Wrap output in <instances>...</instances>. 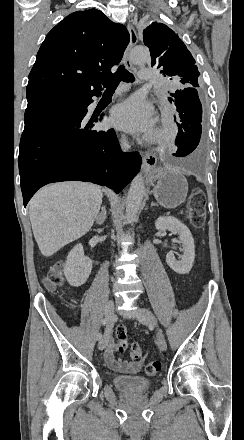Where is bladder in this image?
Wrapping results in <instances>:
<instances>
[{
    "label": "bladder",
    "mask_w": 244,
    "mask_h": 440,
    "mask_svg": "<svg viewBox=\"0 0 244 440\" xmlns=\"http://www.w3.org/2000/svg\"><path fill=\"white\" fill-rule=\"evenodd\" d=\"M112 381L116 390H121L128 395L145 393L151 388V380L143 377H114Z\"/></svg>",
    "instance_id": "obj_1"
}]
</instances>
